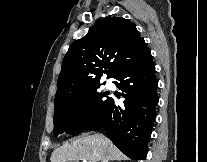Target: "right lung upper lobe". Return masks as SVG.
Instances as JSON below:
<instances>
[{
	"mask_svg": "<svg viewBox=\"0 0 207 162\" xmlns=\"http://www.w3.org/2000/svg\"><path fill=\"white\" fill-rule=\"evenodd\" d=\"M149 55L150 50L132 22L122 17L100 20L69 47L55 99L95 89L107 67V78H115Z\"/></svg>",
	"mask_w": 207,
	"mask_h": 162,
	"instance_id": "cb5924a9",
	"label": "right lung upper lobe"
}]
</instances>
